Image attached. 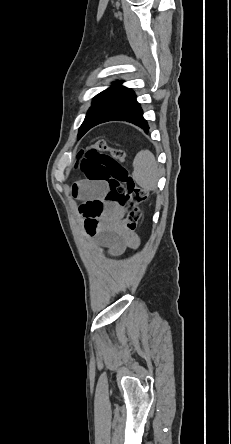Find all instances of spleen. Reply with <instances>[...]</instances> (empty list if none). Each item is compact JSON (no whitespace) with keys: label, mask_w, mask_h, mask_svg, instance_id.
<instances>
[{"label":"spleen","mask_w":231,"mask_h":444,"mask_svg":"<svg viewBox=\"0 0 231 444\" xmlns=\"http://www.w3.org/2000/svg\"><path fill=\"white\" fill-rule=\"evenodd\" d=\"M133 167L134 181L145 190H155L159 179V168L152 152L149 150L138 152L134 158Z\"/></svg>","instance_id":"spleen-1"}]
</instances>
